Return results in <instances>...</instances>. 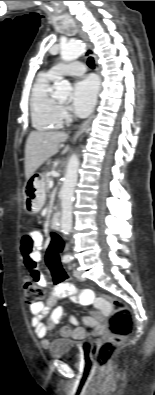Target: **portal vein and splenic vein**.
Returning <instances> with one entry per match:
<instances>
[{"mask_svg": "<svg viewBox=\"0 0 155 395\" xmlns=\"http://www.w3.org/2000/svg\"><path fill=\"white\" fill-rule=\"evenodd\" d=\"M53 185H54V184H53V181H52V180H50V181H49V183H48V186H49V188H52V187H53Z\"/></svg>", "mask_w": 155, "mask_h": 395, "instance_id": "1", "label": "portal vein and splenic vein"}]
</instances>
